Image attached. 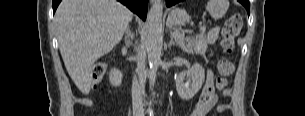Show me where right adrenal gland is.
<instances>
[{
    "mask_svg": "<svg viewBox=\"0 0 305 116\" xmlns=\"http://www.w3.org/2000/svg\"><path fill=\"white\" fill-rule=\"evenodd\" d=\"M133 38H134V36L130 30V26H128L126 29V36L124 38L126 47H129L132 44Z\"/></svg>",
    "mask_w": 305,
    "mask_h": 116,
    "instance_id": "obj_1",
    "label": "right adrenal gland"
}]
</instances>
